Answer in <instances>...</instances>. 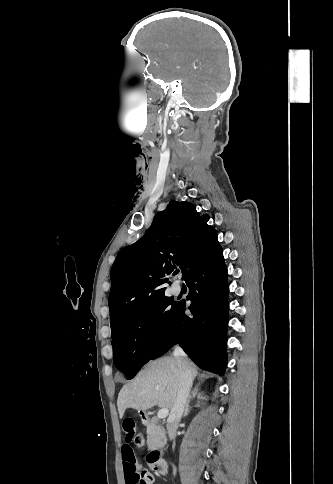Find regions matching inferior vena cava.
<instances>
[{"label":"inferior vena cava","instance_id":"inferior-vena-cava-1","mask_svg":"<svg viewBox=\"0 0 333 484\" xmlns=\"http://www.w3.org/2000/svg\"><path fill=\"white\" fill-rule=\"evenodd\" d=\"M173 354L178 363L180 372L177 397L167 419V433L170 440L176 435V430L183 415L193 380L190 361L183 349L179 346H175Z\"/></svg>","mask_w":333,"mask_h":484}]
</instances>
